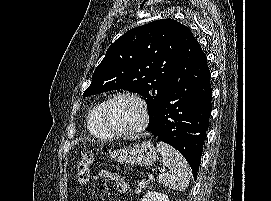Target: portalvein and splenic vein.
I'll return each instance as SVG.
<instances>
[{
	"label": "portal vein and splenic vein",
	"instance_id": "18ae733b",
	"mask_svg": "<svg viewBox=\"0 0 271 201\" xmlns=\"http://www.w3.org/2000/svg\"><path fill=\"white\" fill-rule=\"evenodd\" d=\"M148 180H149V181H153V180H154V175H149Z\"/></svg>",
	"mask_w": 271,
	"mask_h": 201
}]
</instances>
